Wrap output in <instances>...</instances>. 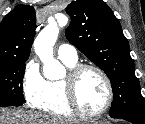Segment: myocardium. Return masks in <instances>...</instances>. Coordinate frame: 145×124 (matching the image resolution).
I'll return each mask as SVG.
<instances>
[{
	"label": "myocardium",
	"instance_id": "myocardium-1",
	"mask_svg": "<svg viewBox=\"0 0 145 124\" xmlns=\"http://www.w3.org/2000/svg\"><path fill=\"white\" fill-rule=\"evenodd\" d=\"M87 70H93L97 72L103 79L106 89H107V100L105 104L95 112H87L82 107L78 94H77V83L80 76ZM65 88H66V97L70 107L73 111L82 116L88 118L99 117L103 115L112 105L114 100V90L110 77L108 74L99 66L94 64H77L74 67L70 68L66 78L64 79Z\"/></svg>",
	"mask_w": 145,
	"mask_h": 124
}]
</instances>
